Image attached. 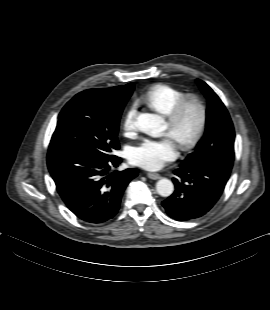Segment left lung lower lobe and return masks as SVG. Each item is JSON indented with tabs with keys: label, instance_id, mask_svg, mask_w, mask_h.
Instances as JSON below:
<instances>
[{
	"label": "left lung lower lobe",
	"instance_id": "0a47b994",
	"mask_svg": "<svg viewBox=\"0 0 270 310\" xmlns=\"http://www.w3.org/2000/svg\"><path fill=\"white\" fill-rule=\"evenodd\" d=\"M174 193L162 202L167 214L178 221L202 217L220 198L230 173L203 165H181L174 171Z\"/></svg>",
	"mask_w": 270,
	"mask_h": 310
}]
</instances>
